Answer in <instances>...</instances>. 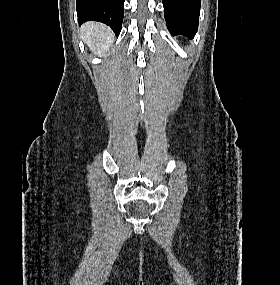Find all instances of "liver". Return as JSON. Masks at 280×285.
Listing matches in <instances>:
<instances>
[{
	"label": "liver",
	"instance_id": "6515ba94",
	"mask_svg": "<svg viewBox=\"0 0 280 285\" xmlns=\"http://www.w3.org/2000/svg\"><path fill=\"white\" fill-rule=\"evenodd\" d=\"M81 32L85 43L98 55L104 54L114 40L113 32L107 26L97 22L85 23Z\"/></svg>",
	"mask_w": 280,
	"mask_h": 285
}]
</instances>
